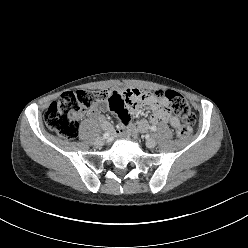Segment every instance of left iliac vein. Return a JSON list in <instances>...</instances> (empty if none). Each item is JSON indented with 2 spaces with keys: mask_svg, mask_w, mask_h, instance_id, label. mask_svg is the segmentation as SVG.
<instances>
[{
  "mask_svg": "<svg viewBox=\"0 0 248 248\" xmlns=\"http://www.w3.org/2000/svg\"><path fill=\"white\" fill-rule=\"evenodd\" d=\"M146 146L148 148H154L156 146V141L153 138H149L146 141Z\"/></svg>",
  "mask_w": 248,
  "mask_h": 248,
  "instance_id": "4c4485c4",
  "label": "left iliac vein"
}]
</instances>
